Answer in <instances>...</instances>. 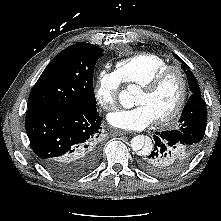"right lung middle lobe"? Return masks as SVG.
Returning <instances> with one entry per match:
<instances>
[{
	"instance_id": "obj_1",
	"label": "right lung middle lobe",
	"mask_w": 221,
	"mask_h": 221,
	"mask_svg": "<svg viewBox=\"0 0 221 221\" xmlns=\"http://www.w3.org/2000/svg\"><path fill=\"white\" fill-rule=\"evenodd\" d=\"M103 49L76 43L61 51L31 90L27 108L96 109L93 72Z\"/></svg>"
}]
</instances>
